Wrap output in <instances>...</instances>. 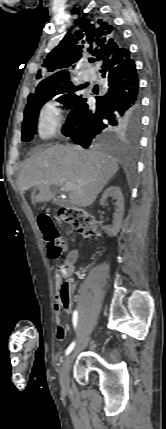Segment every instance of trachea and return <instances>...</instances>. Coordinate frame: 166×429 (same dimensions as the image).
<instances>
[{
	"instance_id": "3493384b",
	"label": "trachea",
	"mask_w": 166,
	"mask_h": 429,
	"mask_svg": "<svg viewBox=\"0 0 166 429\" xmlns=\"http://www.w3.org/2000/svg\"><path fill=\"white\" fill-rule=\"evenodd\" d=\"M90 62H94L95 61V59L94 58H90V60H89Z\"/></svg>"
}]
</instances>
